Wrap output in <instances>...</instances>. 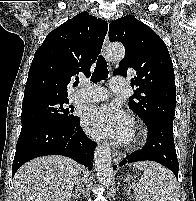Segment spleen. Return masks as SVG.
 Masks as SVG:
<instances>
[{"instance_id":"obj_1","label":"spleen","mask_w":196,"mask_h":201,"mask_svg":"<svg viewBox=\"0 0 196 201\" xmlns=\"http://www.w3.org/2000/svg\"><path fill=\"white\" fill-rule=\"evenodd\" d=\"M135 166L143 171L137 183L136 201H176V179L167 168L150 161Z\"/></svg>"}]
</instances>
